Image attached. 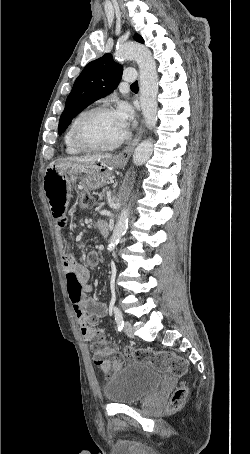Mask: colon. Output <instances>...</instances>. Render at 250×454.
<instances>
[{
  "label": "colon",
  "instance_id": "1",
  "mask_svg": "<svg viewBox=\"0 0 250 454\" xmlns=\"http://www.w3.org/2000/svg\"><path fill=\"white\" fill-rule=\"evenodd\" d=\"M93 197L82 192L79 197L78 207L80 211L91 208ZM92 350L94 352V362L107 375H112L119 370L125 363V357L121 353L114 351L105 340L102 330L93 328ZM126 354L131 356L136 362L149 364L153 369L162 373H169L176 377H182L187 373V362L180 356L168 351H154L151 349H127ZM188 396V388L185 384L178 386L171 395V407L179 408L183 405Z\"/></svg>",
  "mask_w": 250,
  "mask_h": 454
}]
</instances>
